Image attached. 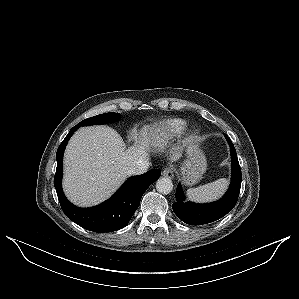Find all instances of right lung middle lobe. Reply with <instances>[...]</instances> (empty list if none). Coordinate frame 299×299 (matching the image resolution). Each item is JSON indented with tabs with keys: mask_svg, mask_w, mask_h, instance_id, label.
<instances>
[{
	"mask_svg": "<svg viewBox=\"0 0 299 299\" xmlns=\"http://www.w3.org/2000/svg\"><path fill=\"white\" fill-rule=\"evenodd\" d=\"M119 118V113L110 112L100 114L88 119H85L77 124L78 127L80 126H89V125H98V124H106L110 122H114Z\"/></svg>",
	"mask_w": 299,
	"mask_h": 299,
	"instance_id": "obj_1",
	"label": "right lung middle lobe"
}]
</instances>
